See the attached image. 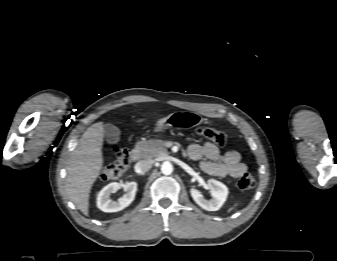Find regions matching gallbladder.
<instances>
[{
    "label": "gallbladder",
    "mask_w": 337,
    "mask_h": 261,
    "mask_svg": "<svg viewBox=\"0 0 337 261\" xmlns=\"http://www.w3.org/2000/svg\"><path fill=\"white\" fill-rule=\"evenodd\" d=\"M104 134L109 144H116L120 139V130L112 124L105 125Z\"/></svg>",
    "instance_id": "1"
}]
</instances>
